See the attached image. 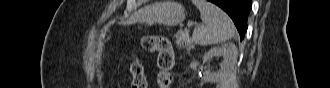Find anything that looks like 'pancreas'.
<instances>
[{
    "label": "pancreas",
    "instance_id": "cf45deb5",
    "mask_svg": "<svg viewBox=\"0 0 330 88\" xmlns=\"http://www.w3.org/2000/svg\"><path fill=\"white\" fill-rule=\"evenodd\" d=\"M176 44L179 48L190 50L192 48V39L187 32L179 30L176 34Z\"/></svg>",
    "mask_w": 330,
    "mask_h": 88
}]
</instances>
